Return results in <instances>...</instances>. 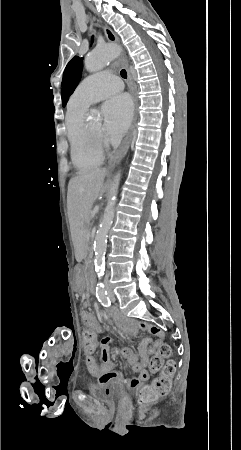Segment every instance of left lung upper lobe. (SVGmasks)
I'll return each mask as SVG.
<instances>
[{"instance_id": "obj_1", "label": "left lung upper lobe", "mask_w": 241, "mask_h": 450, "mask_svg": "<svg viewBox=\"0 0 241 450\" xmlns=\"http://www.w3.org/2000/svg\"><path fill=\"white\" fill-rule=\"evenodd\" d=\"M83 69V58L77 56L73 57L71 61L67 64L66 69L63 74L62 79V105L65 106L70 95L75 90L78 85Z\"/></svg>"}]
</instances>
